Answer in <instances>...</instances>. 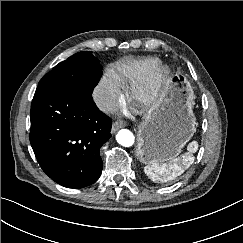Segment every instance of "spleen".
Segmentation results:
<instances>
[{
	"mask_svg": "<svg viewBox=\"0 0 243 243\" xmlns=\"http://www.w3.org/2000/svg\"><path fill=\"white\" fill-rule=\"evenodd\" d=\"M188 152L168 163H155L144 167L145 174L155 182H168L180 176L194 162V155L198 150V143L192 141L187 146Z\"/></svg>",
	"mask_w": 243,
	"mask_h": 243,
	"instance_id": "spleen-1",
	"label": "spleen"
}]
</instances>
